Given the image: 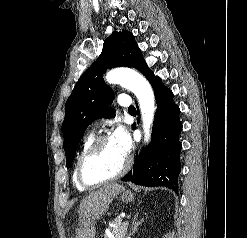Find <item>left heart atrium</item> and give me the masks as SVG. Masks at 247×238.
I'll use <instances>...</instances> for the list:
<instances>
[{
	"label": "left heart atrium",
	"instance_id": "obj_1",
	"mask_svg": "<svg viewBox=\"0 0 247 238\" xmlns=\"http://www.w3.org/2000/svg\"><path fill=\"white\" fill-rule=\"evenodd\" d=\"M111 140L120 152L127 156L131 149V138L122 126H119L114 130Z\"/></svg>",
	"mask_w": 247,
	"mask_h": 238
}]
</instances>
